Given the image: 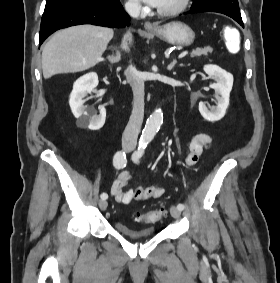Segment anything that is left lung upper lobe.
<instances>
[{"instance_id":"obj_1","label":"left lung upper lobe","mask_w":280,"mask_h":283,"mask_svg":"<svg viewBox=\"0 0 280 283\" xmlns=\"http://www.w3.org/2000/svg\"><path fill=\"white\" fill-rule=\"evenodd\" d=\"M191 9H209L241 18L238 0H193Z\"/></svg>"}]
</instances>
